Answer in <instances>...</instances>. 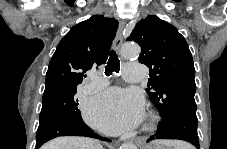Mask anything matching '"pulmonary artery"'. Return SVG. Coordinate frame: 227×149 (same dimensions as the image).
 Wrapping results in <instances>:
<instances>
[{
    "label": "pulmonary artery",
    "instance_id": "1",
    "mask_svg": "<svg viewBox=\"0 0 227 149\" xmlns=\"http://www.w3.org/2000/svg\"><path fill=\"white\" fill-rule=\"evenodd\" d=\"M124 77L128 82H141L145 77V67L138 63H128L124 67ZM91 90H98L107 85V80L98 75H92L91 77Z\"/></svg>",
    "mask_w": 227,
    "mask_h": 149
}]
</instances>
